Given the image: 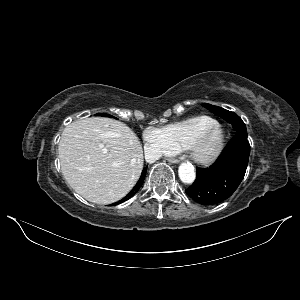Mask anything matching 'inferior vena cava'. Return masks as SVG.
<instances>
[{"instance_id":"1","label":"inferior vena cava","mask_w":300,"mask_h":300,"mask_svg":"<svg viewBox=\"0 0 300 300\" xmlns=\"http://www.w3.org/2000/svg\"><path fill=\"white\" fill-rule=\"evenodd\" d=\"M161 157V152L159 150L154 149H146L145 150V158L148 162H154Z\"/></svg>"}]
</instances>
